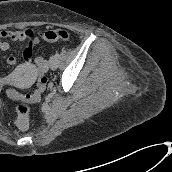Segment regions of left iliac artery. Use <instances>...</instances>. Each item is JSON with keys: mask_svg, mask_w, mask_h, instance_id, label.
<instances>
[{"mask_svg": "<svg viewBox=\"0 0 172 172\" xmlns=\"http://www.w3.org/2000/svg\"><path fill=\"white\" fill-rule=\"evenodd\" d=\"M55 56H56L57 59L59 58V54L58 53H56Z\"/></svg>", "mask_w": 172, "mask_h": 172, "instance_id": "obj_1", "label": "left iliac artery"}]
</instances>
